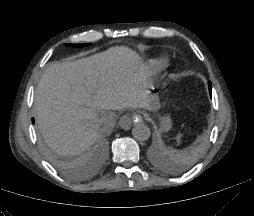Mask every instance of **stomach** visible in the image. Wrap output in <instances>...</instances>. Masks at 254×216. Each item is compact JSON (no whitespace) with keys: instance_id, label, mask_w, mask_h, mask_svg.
<instances>
[{"instance_id":"1","label":"stomach","mask_w":254,"mask_h":216,"mask_svg":"<svg viewBox=\"0 0 254 216\" xmlns=\"http://www.w3.org/2000/svg\"><path fill=\"white\" fill-rule=\"evenodd\" d=\"M160 131H169L172 127L173 121L170 115L159 116Z\"/></svg>"}]
</instances>
